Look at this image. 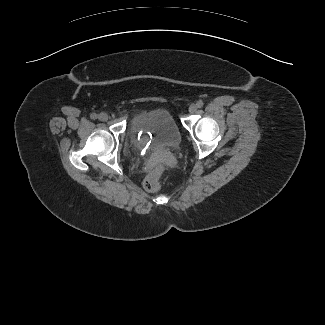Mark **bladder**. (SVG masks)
Segmentation results:
<instances>
[{"instance_id": "bladder-1", "label": "bladder", "mask_w": 325, "mask_h": 325, "mask_svg": "<svg viewBox=\"0 0 325 325\" xmlns=\"http://www.w3.org/2000/svg\"><path fill=\"white\" fill-rule=\"evenodd\" d=\"M130 137L137 147L176 148L181 132L172 114L164 108L142 111L130 122Z\"/></svg>"}]
</instances>
